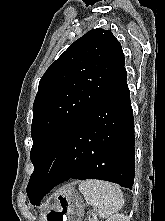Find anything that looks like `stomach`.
<instances>
[{"label":"stomach","instance_id":"stomach-1","mask_svg":"<svg viewBox=\"0 0 165 221\" xmlns=\"http://www.w3.org/2000/svg\"><path fill=\"white\" fill-rule=\"evenodd\" d=\"M84 204L81 197L73 186L63 188L56 196L51 208H46L44 217H68L46 218L43 221H80L83 214Z\"/></svg>","mask_w":165,"mask_h":221}]
</instances>
